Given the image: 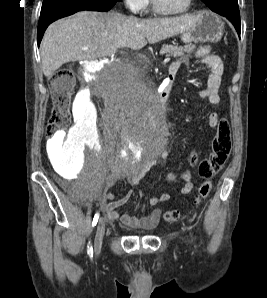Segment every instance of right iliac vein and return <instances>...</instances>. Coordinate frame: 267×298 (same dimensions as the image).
<instances>
[{
	"label": "right iliac vein",
	"mask_w": 267,
	"mask_h": 298,
	"mask_svg": "<svg viewBox=\"0 0 267 298\" xmlns=\"http://www.w3.org/2000/svg\"><path fill=\"white\" fill-rule=\"evenodd\" d=\"M105 233V221L100 219L96 228V234L94 239V251L98 255L101 251L102 241Z\"/></svg>",
	"instance_id": "63e3f726"
}]
</instances>
